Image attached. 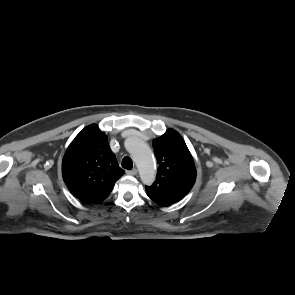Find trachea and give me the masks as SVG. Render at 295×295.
<instances>
[{
    "label": "trachea",
    "mask_w": 295,
    "mask_h": 295,
    "mask_svg": "<svg viewBox=\"0 0 295 295\" xmlns=\"http://www.w3.org/2000/svg\"><path fill=\"white\" fill-rule=\"evenodd\" d=\"M122 167L127 170H131L133 167L132 159L129 156H125L122 160Z\"/></svg>",
    "instance_id": "1"
}]
</instances>
